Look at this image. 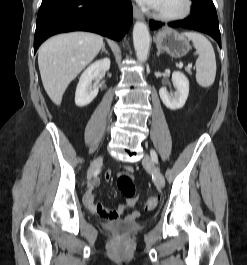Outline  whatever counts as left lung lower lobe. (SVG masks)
Instances as JSON below:
<instances>
[{"label":"left lung lower lobe","instance_id":"1","mask_svg":"<svg viewBox=\"0 0 247 265\" xmlns=\"http://www.w3.org/2000/svg\"><path fill=\"white\" fill-rule=\"evenodd\" d=\"M171 27L195 29L209 34L221 47V36L215 6L212 0H192V13L186 19L169 24ZM162 26L161 22L151 20L152 30Z\"/></svg>","mask_w":247,"mask_h":265}]
</instances>
